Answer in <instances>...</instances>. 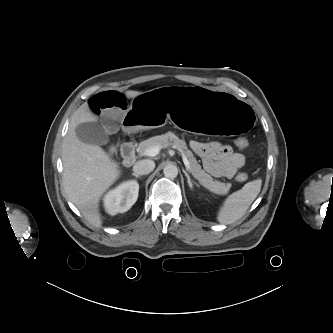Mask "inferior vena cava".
<instances>
[{"mask_svg":"<svg viewBox=\"0 0 333 333\" xmlns=\"http://www.w3.org/2000/svg\"><path fill=\"white\" fill-rule=\"evenodd\" d=\"M154 168L155 163L153 160L144 159L134 164L133 171L138 175H147L152 172Z\"/></svg>","mask_w":333,"mask_h":333,"instance_id":"1","label":"inferior vena cava"}]
</instances>
